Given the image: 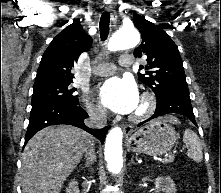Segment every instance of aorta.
Masks as SVG:
<instances>
[{
    "label": "aorta",
    "instance_id": "obj_1",
    "mask_svg": "<svg viewBox=\"0 0 221 193\" xmlns=\"http://www.w3.org/2000/svg\"><path fill=\"white\" fill-rule=\"evenodd\" d=\"M140 41V35L134 28H121L111 37L108 48L110 51H119L135 47ZM121 128H112L106 137L105 160L109 171L113 174L120 173L123 167Z\"/></svg>",
    "mask_w": 221,
    "mask_h": 193
}]
</instances>
